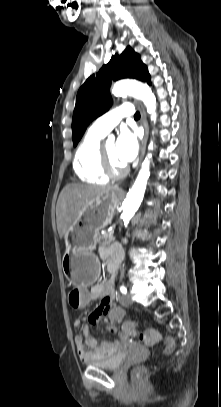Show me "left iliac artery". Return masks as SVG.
I'll use <instances>...</instances> for the list:
<instances>
[{"instance_id":"left-iliac-artery-1","label":"left iliac artery","mask_w":221,"mask_h":407,"mask_svg":"<svg viewBox=\"0 0 221 407\" xmlns=\"http://www.w3.org/2000/svg\"><path fill=\"white\" fill-rule=\"evenodd\" d=\"M120 291H121L122 294H126L127 293V288L124 285H122V286H120Z\"/></svg>"}]
</instances>
